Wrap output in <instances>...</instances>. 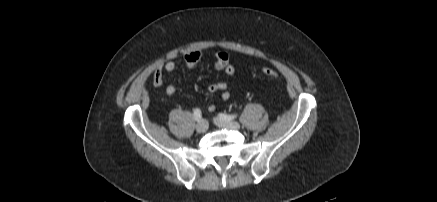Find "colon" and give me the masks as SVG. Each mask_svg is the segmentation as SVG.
Returning a JSON list of instances; mask_svg holds the SVG:
<instances>
[{"label": "colon", "instance_id": "1", "mask_svg": "<svg viewBox=\"0 0 437 202\" xmlns=\"http://www.w3.org/2000/svg\"><path fill=\"white\" fill-rule=\"evenodd\" d=\"M263 74L269 78H277L278 73L272 68H263L262 70Z\"/></svg>", "mask_w": 437, "mask_h": 202}]
</instances>
